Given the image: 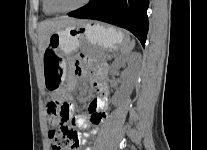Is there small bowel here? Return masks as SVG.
<instances>
[{
	"label": "small bowel",
	"instance_id": "small-bowel-1",
	"mask_svg": "<svg viewBox=\"0 0 207 150\" xmlns=\"http://www.w3.org/2000/svg\"><path fill=\"white\" fill-rule=\"evenodd\" d=\"M88 64L91 66L92 71L94 72V80L93 85L97 89V91L100 93V97L92 101L88 106V113L87 115H78V116H72L74 105L71 101H66L64 98L60 97V100L62 99L64 102H69L68 111L70 114V121L71 124L79 129H90V133L85 134L82 136L78 132V144H83L86 141V138L89 136V134H93L96 132V126L101 123L104 118L106 117V108H107V96L109 94V88L106 83V70L103 65L96 63V62H88ZM76 75H83L85 73L84 69L79 66L77 67L75 71ZM69 86L73 88L75 86V78L70 77L69 79ZM50 118V116H49ZM69 127H71L69 125ZM72 128V127H71ZM83 150H91V145H83Z\"/></svg>",
	"mask_w": 207,
	"mask_h": 150
}]
</instances>
